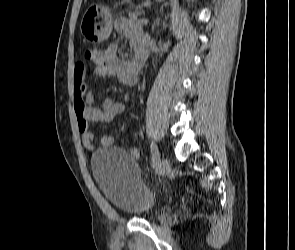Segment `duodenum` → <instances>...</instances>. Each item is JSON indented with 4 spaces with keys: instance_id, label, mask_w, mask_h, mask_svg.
I'll return each instance as SVG.
<instances>
[{
    "instance_id": "1",
    "label": "duodenum",
    "mask_w": 295,
    "mask_h": 250,
    "mask_svg": "<svg viewBox=\"0 0 295 250\" xmlns=\"http://www.w3.org/2000/svg\"><path fill=\"white\" fill-rule=\"evenodd\" d=\"M138 55H139V63H138V67H139V68H142V67H143V64H144V62H145V55H144L143 52H139Z\"/></svg>"
}]
</instances>
